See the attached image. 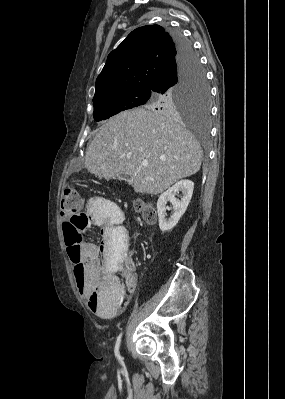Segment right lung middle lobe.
Wrapping results in <instances>:
<instances>
[{
  "mask_svg": "<svg viewBox=\"0 0 285 399\" xmlns=\"http://www.w3.org/2000/svg\"><path fill=\"white\" fill-rule=\"evenodd\" d=\"M96 121L105 120L121 111L145 105L165 113L181 111L207 122L210 115V90L205 72L197 60L180 81L164 93L151 89H131L93 99Z\"/></svg>",
  "mask_w": 285,
  "mask_h": 399,
  "instance_id": "right-lung-middle-lobe-1",
  "label": "right lung middle lobe"
}]
</instances>
